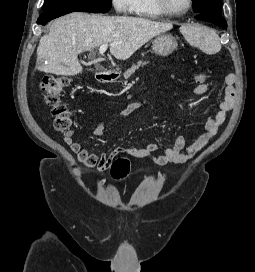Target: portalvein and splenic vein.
I'll list each match as a JSON object with an SVG mask.
<instances>
[{
    "instance_id": "18ae733b",
    "label": "portal vein and splenic vein",
    "mask_w": 255,
    "mask_h": 272,
    "mask_svg": "<svg viewBox=\"0 0 255 272\" xmlns=\"http://www.w3.org/2000/svg\"><path fill=\"white\" fill-rule=\"evenodd\" d=\"M108 46H110V44H102L99 48V55H103L105 53V51L107 50ZM98 60L100 61L101 58H98Z\"/></svg>"
}]
</instances>
